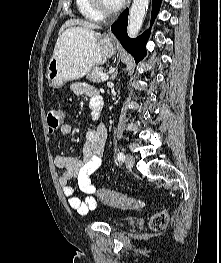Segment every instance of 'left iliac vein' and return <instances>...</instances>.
Wrapping results in <instances>:
<instances>
[{
  "label": "left iliac vein",
  "mask_w": 221,
  "mask_h": 263,
  "mask_svg": "<svg viewBox=\"0 0 221 263\" xmlns=\"http://www.w3.org/2000/svg\"><path fill=\"white\" fill-rule=\"evenodd\" d=\"M125 164L127 167H133V165L135 164V158L132 154L126 155Z\"/></svg>",
  "instance_id": "left-iliac-vein-1"
}]
</instances>
